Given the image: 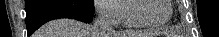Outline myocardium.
<instances>
[{
  "label": "myocardium",
  "mask_w": 219,
  "mask_h": 37,
  "mask_svg": "<svg viewBox=\"0 0 219 37\" xmlns=\"http://www.w3.org/2000/svg\"><path fill=\"white\" fill-rule=\"evenodd\" d=\"M142 1L144 0H131L129 2V15L135 25L140 26V27H148V28H160L166 25L168 21L171 19L173 15V7H172V2L170 0H164V2L167 4L169 8V13H168L167 18L160 22H152V21L145 20L137 14L136 5L137 3L142 2Z\"/></svg>",
  "instance_id": "obj_1"
}]
</instances>
